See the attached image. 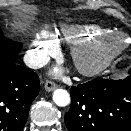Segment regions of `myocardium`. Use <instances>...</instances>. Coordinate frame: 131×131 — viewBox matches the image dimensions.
<instances>
[{
	"instance_id": "myocardium-1",
	"label": "myocardium",
	"mask_w": 131,
	"mask_h": 131,
	"mask_svg": "<svg viewBox=\"0 0 131 131\" xmlns=\"http://www.w3.org/2000/svg\"><path fill=\"white\" fill-rule=\"evenodd\" d=\"M111 42L116 45L109 47ZM128 47L123 35L111 32L91 40L75 43L70 48L71 62L84 76H94L105 70ZM103 52L100 57L97 53ZM86 60H92L86 63Z\"/></svg>"
}]
</instances>
